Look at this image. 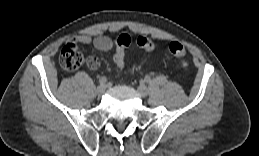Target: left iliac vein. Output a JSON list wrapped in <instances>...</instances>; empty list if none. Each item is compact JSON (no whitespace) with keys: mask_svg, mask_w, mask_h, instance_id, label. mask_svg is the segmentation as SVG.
Segmentation results:
<instances>
[{"mask_svg":"<svg viewBox=\"0 0 259 156\" xmlns=\"http://www.w3.org/2000/svg\"><path fill=\"white\" fill-rule=\"evenodd\" d=\"M138 93L141 97H146L148 95V90L144 84L138 86Z\"/></svg>","mask_w":259,"mask_h":156,"instance_id":"left-iliac-vein-1","label":"left iliac vein"}]
</instances>
